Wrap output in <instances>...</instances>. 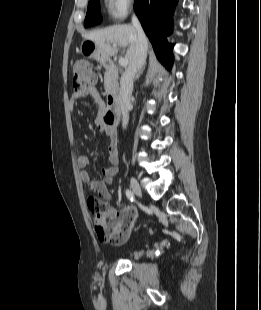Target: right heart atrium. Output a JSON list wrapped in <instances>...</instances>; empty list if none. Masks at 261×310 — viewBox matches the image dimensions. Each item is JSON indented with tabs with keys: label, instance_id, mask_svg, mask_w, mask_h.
I'll list each match as a JSON object with an SVG mask.
<instances>
[{
	"label": "right heart atrium",
	"instance_id": "d8ad5b80",
	"mask_svg": "<svg viewBox=\"0 0 261 310\" xmlns=\"http://www.w3.org/2000/svg\"><path fill=\"white\" fill-rule=\"evenodd\" d=\"M107 12L113 21L124 20L134 8L135 0H106Z\"/></svg>",
	"mask_w": 261,
	"mask_h": 310
}]
</instances>
